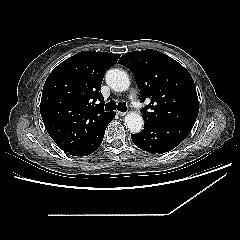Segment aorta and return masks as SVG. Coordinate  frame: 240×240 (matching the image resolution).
Returning a JSON list of instances; mask_svg holds the SVG:
<instances>
[{
    "label": "aorta",
    "instance_id": "obj_1",
    "mask_svg": "<svg viewBox=\"0 0 240 240\" xmlns=\"http://www.w3.org/2000/svg\"><path fill=\"white\" fill-rule=\"evenodd\" d=\"M106 82L111 89L117 92H124L130 86V79L126 72L120 69H110L106 73ZM125 126L131 133H139L142 130L144 120L142 116L133 111L124 118Z\"/></svg>",
    "mask_w": 240,
    "mask_h": 240
}]
</instances>
